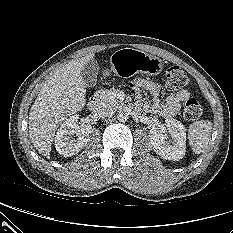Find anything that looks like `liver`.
I'll return each mask as SVG.
<instances>
[{
  "label": "liver",
  "mask_w": 233,
  "mask_h": 233,
  "mask_svg": "<svg viewBox=\"0 0 233 233\" xmlns=\"http://www.w3.org/2000/svg\"><path fill=\"white\" fill-rule=\"evenodd\" d=\"M94 53L70 61L57 69L44 83L30 109L29 135L40 154L49 158L58 126L86 103L82 69Z\"/></svg>",
  "instance_id": "obj_1"
}]
</instances>
